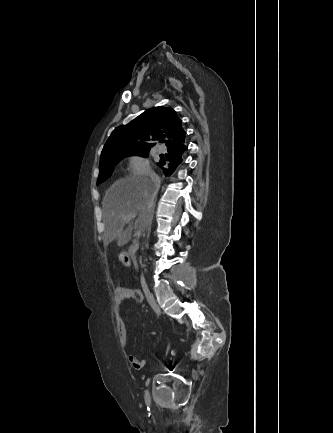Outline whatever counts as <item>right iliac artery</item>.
<instances>
[{"label":"right iliac artery","instance_id":"right-iliac-artery-1","mask_svg":"<svg viewBox=\"0 0 333 433\" xmlns=\"http://www.w3.org/2000/svg\"><path fill=\"white\" fill-rule=\"evenodd\" d=\"M172 355H175V351H172ZM149 382H150V379H148V380L146 381V386L149 384ZM144 398H145V403H146V405L149 406L150 403H151V398H150V394H149V391H148V390L145 391Z\"/></svg>","mask_w":333,"mask_h":433}]
</instances>
